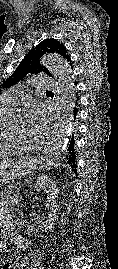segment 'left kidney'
<instances>
[{
    "label": "left kidney",
    "mask_w": 118,
    "mask_h": 269,
    "mask_svg": "<svg viewBox=\"0 0 118 269\" xmlns=\"http://www.w3.org/2000/svg\"><path fill=\"white\" fill-rule=\"evenodd\" d=\"M36 192L41 190L47 195V199L51 202V213L49 214L48 218H43L33 213L35 224L38 228L42 231H50L55 225V221L57 218V214L59 212V205L57 204L58 199V187L54 180L49 178L48 176H43L39 178L35 184Z\"/></svg>",
    "instance_id": "left-kidney-1"
}]
</instances>
